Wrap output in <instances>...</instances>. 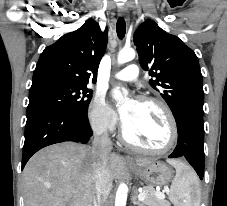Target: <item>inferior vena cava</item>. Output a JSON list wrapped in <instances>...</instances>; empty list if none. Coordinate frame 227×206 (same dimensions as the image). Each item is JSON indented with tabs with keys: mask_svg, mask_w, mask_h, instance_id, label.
I'll return each instance as SVG.
<instances>
[{
	"mask_svg": "<svg viewBox=\"0 0 227 206\" xmlns=\"http://www.w3.org/2000/svg\"><path fill=\"white\" fill-rule=\"evenodd\" d=\"M112 151V142L106 131L96 132L92 145V153L96 156L94 162L95 193L94 206H103L112 189V178L107 160Z\"/></svg>",
	"mask_w": 227,
	"mask_h": 206,
	"instance_id": "obj_1",
	"label": "inferior vena cava"
}]
</instances>
